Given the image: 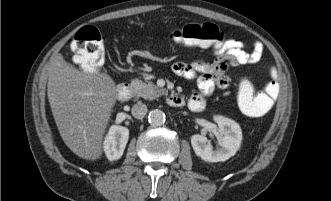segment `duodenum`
<instances>
[{
  "instance_id": "obj_1",
  "label": "duodenum",
  "mask_w": 331,
  "mask_h": 201,
  "mask_svg": "<svg viewBox=\"0 0 331 201\" xmlns=\"http://www.w3.org/2000/svg\"><path fill=\"white\" fill-rule=\"evenodd\" d=\"M131 92V85L127 82H123L117 87L116 98L119 102H125L130 97ZM167 103L172 107H180L184 104V99L177 94H169L167 97Z\"/></svg>"
}]
</instances>
